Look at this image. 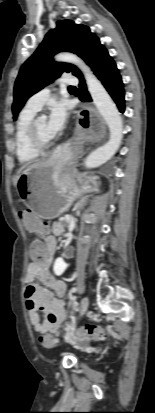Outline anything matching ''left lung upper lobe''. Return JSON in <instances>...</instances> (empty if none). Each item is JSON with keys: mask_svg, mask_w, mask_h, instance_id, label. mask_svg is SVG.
Listing matches in <instances>:
<instances>
[{"mask_svg": "<svg viewBox=\"0 0 155 413\" xmlns=\"http://www.w3.org/2000/svg\"><path fill=\"white\" fill-rule=\"evenodd\" d=\"M104 48L99 38L84 25L71 20L57 22L48 32L34 54L22 65L14 86L13 118L16 119L26 100L44 86L58 78L62 72L82 76L74 65L54 62L53 55L61 51L76 53L91 66Z\"/></svg>", "mask_w": 155, "mask_h": 413, "instance_id": "1", "label": "left lung upper lobe"}]
</instances>
